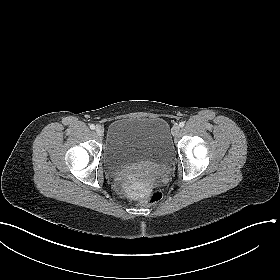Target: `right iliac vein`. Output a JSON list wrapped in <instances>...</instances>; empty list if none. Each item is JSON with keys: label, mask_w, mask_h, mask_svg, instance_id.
I'll return each mask as SVG.
<instances>
[{"label": "right iliac vein", "mask_w": 280, "mask_h": 280, "mask_svg": "<svg viewBox=\"0 0 280 280\" xmlns=\"http://www.w3.org/2000/svg\"><path fill=\"white\" fill-rule=\"evenodd\" d=\"M95 131L98 136H102L104 134V129L100 125L96 126Z\"/></svg>", "instance_id": "obj_1"}]
</instances>
